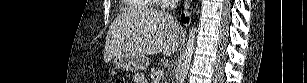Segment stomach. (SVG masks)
Returning <instances> with one entry per match:
<instances>
[{"instance_id":"0dacf381","label":"stomach","mask_w":307,"mask_h":83,"mask_svg":"<svg viewBox=\"0 0 307 83\" xmlns=\"http://www.w3.org/2000/svg\"><path fill=\"white\" fill-rule=\"evenodd\" d=\"M113 64L117 69L123 71H138L146 67L147 59L145 57L118 55L114 58Z\"/></svg>"}]
</instances>
